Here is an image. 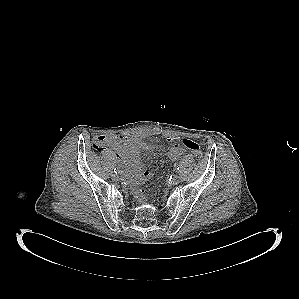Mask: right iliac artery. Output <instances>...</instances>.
Segmentation results:
<instances>
[{
	"mask_svg": "<svg viewBox=\"0 0 299 299\" xmlns=\"http://www.w3.org/2000/svg\"><path fill=\"white\" fill-rule=\"evenodd\" d=\"M114 173H116V174H117V173H118V169H116V168H115V169H114Z\"/></svg>",
	"mask_w": 299,
	"mask_h": 299,
	"instance_id": "82829eb1",
	"label": "right iliac artery"
}]
</instances>
